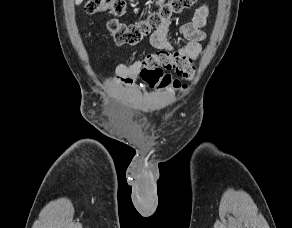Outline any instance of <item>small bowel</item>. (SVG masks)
<instances>
[{"instance_id":"c3829d8e","label":"small bowel","mask_w":292,"mask_h":228,"mask_svg":"<svg viewBox=\"0 0 292 228\" xmlns=\"http://www.w3.org/2000/svg\"><path fill=\"white\" fill-rule=\"evenodd\" d=\"M164 0H155L154 8H158ZM209 14V6L204 4L195 10L192 20L180 27V33L188 41L181 48L174 49L167 39L170 27V21L164 20L161 25L150 35V44L157 49L158 52L176 54L183 59L188 65L198 59L202 52V42L206 38L202 28L206 25ZM143 68V60H136L130 65L118 64L116 71L118 74L130 78L137 79Z\"/></svg>"}]
</instances>
